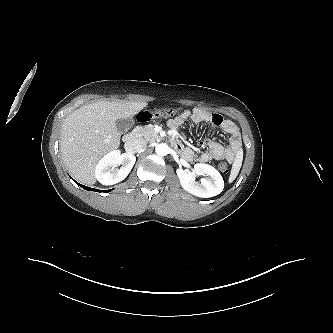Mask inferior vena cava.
Listing matches in <instances>:
<instances>
[{"instance_id":"inferior-vena-cava-1","label":"inferior vena cava","mask_w":333,"mask_h":333,"mask_svg":"<svg viewBox=\"0 0 333 333\" xmlns=\"http://www.w3.org/2000/svg\"><path fill=\"white\" fill-rule=\"evenodd\" d=\"M145 147H146V142L144 140L129 141L125 144V149L130 154L139 152L143 150Z\"/></svg>"}]
</instances>
